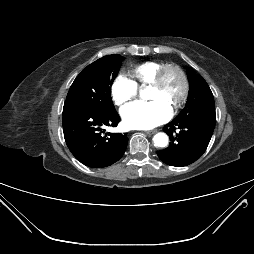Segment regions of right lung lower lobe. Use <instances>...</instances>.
I'll return each mask as SVG.
<instances>
[{
    "mask_svg": "<svg viewBox=\"0 0 254 254\" xmlns=\"http://www.w3.org/2000/svg\"><path fill=\"white\" fill-rule=\"evenodd\" d=\"M120 121L116 110L97 111L74 103H64L63 131L74 157L88 167H107L124 154L128 138L121 133H105L106 126Z\"/></svg>",
    "mask_w": 254,
    "mask_h": 254,
    "instance_id": "right-lung-lower-lobe-1",
    "label": "right lung lower lobe"
}]
</instances>
